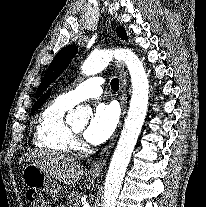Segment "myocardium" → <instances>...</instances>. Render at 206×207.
Listing matches in <instances>:
<instances>
[{
	"instance_id": "f54148a6",
	"label": "myocardium",
	"mask_w": 206,
	"mask_h": 207,
	"mask_svg": "<svg viewBox=\"0 0 206 207\" xmlns=\"http://www.w3.org/2000/svg\"><path fill=\"white\" fill-rule=\"evenodd\" d=\"M72 134L74 137H78L79 136V132L75 131L73 128H70Z\"/></svg>"
}]
</instances>
